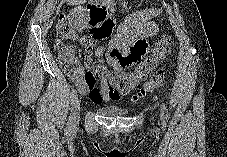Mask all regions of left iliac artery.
Wrapping results in <instances>:
<instances>
[{
	"label": "left iliac artery",
	"instance_id": "44dca946",
	"mask_svg": "<svg viewBox=\"0 0 227 157\" xmlns=\"http://www.w3.org/2000/svg\"><path fill=\"white\" fill-rule=\"evenodd\" d=\"M162 112H163V114L166 112V107H165L164 103L162 104Z\"/></svg>",
	"mask_w": 227,
	"mask_h": 157
}]
</instances>
